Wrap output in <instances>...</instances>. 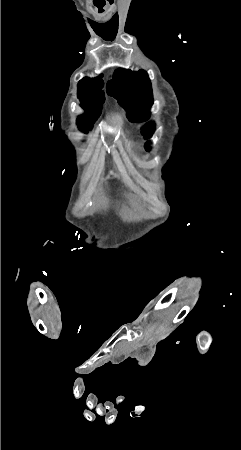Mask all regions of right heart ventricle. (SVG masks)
<instances>
[{
	"instance_id": "1",
	"label": "right heart ventricle",
	"mask_w": 241,
	"mask_h": 450,
	"mask_svg": "<svg viewBox=\"0 0 241 450\" xmlns=\"http://www.w3.org/2000/svg\"><path fill=\"white\" fill-rule=\"evenodd\" d=\"M121 119L119 117H114L113 118V128L115 130L119 129L121 127Z\"/></svg>"
}]
</instances>
